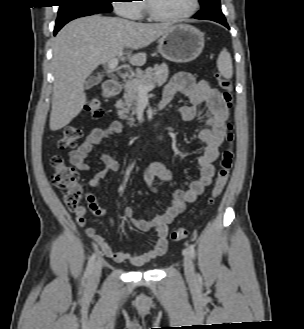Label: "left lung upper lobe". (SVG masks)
<instances>
[{
    "label": "left lung upper lobe",
    "mask_w": 304,
    "mask_h": 329,
    "mask_svg": "<svg viewBox=\"0 0 304 329\" xmlns=\"http://www.w3.org/2000/svg\"><path fill=\"white\" fill-rule=\"evenodd\" d=\"M209 0H199L201 6H203L205 3H207Z\"/></svg>",
    "instance_id": "left-lung-upper-lobe-1"
}]
</instances>
